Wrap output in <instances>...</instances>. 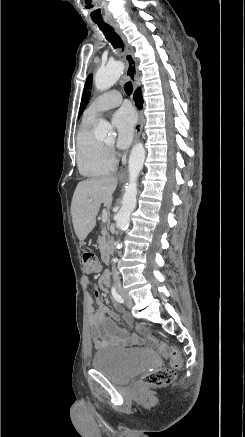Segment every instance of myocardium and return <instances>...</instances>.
<instances>
[{"label":"myocardium","mask_w":245,"mask_h":437,"mask_svg":"<svg viewBox=\"0 0 245 437\" xmlns=\"http://www.w3.org/2000/svg\"><path fill=\"white\" fill-rule=\"evenodd\" d=\"M105 146V148L108 150L110 148V145L108 144H103Z\"/></svg>","instance_id":"f54148a6"}]
</instances>
